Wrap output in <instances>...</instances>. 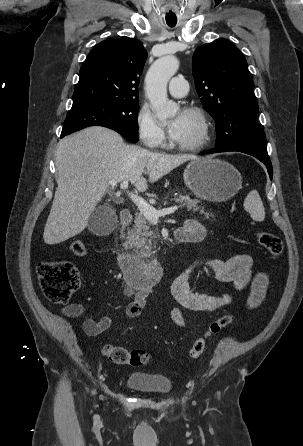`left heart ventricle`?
Returning a JSON list of instances; mask_svg holds the SVG:
<instances>
[{
  "label": "left heart ventricle",
  "mask_w": 303,
  "mask_h": 446,
  "mask_svg": "<svg viewBox=\"0 0 303 446\" xmlns=\"http://www.w3.org/2000/svg\"><path fill=\"white\" fill-rule=\"evenodd\" d=\"M181 115L183 118L182 128L179 136L174 139L177 143L189 144L194 142L201 131V124L199 119L193 114L181 113L176 115Z\"/></svg>",
  "instance_id": "b2bd125f"
}]
</instances>
